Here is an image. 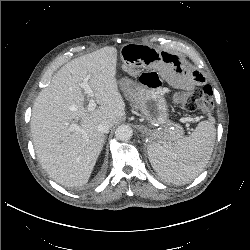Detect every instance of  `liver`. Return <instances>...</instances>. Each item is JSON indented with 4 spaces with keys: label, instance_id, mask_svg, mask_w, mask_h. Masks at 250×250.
<instances>
[{
    "label": "liver",
    "instance_id": "6515ba94",
    "mask_svg": "<svg viewBox=\"0 0 250 250\" xmlns=\"http://www.w3.org/2000/svg\"><path fill=\"white\" fill-rule=\"evenodd\" d=\"M117 49L103 47L61 67L37 96L31 117V134L42 168L65 187L85 185L100 155L104 121L115 125L125 115V102L116 79ZM100 106L89 111L79 84L86 76ZM79 122V130L71 126Z\"/></svg>",
    "mask_w": 250,
    "mask_h": 250
}]
</instances>
